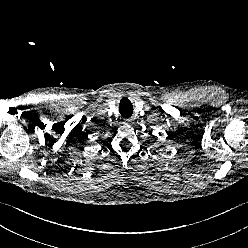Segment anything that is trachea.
<instances>
[{
	"label": "trachea",
	"instance_id": "trachea-1",
	"mask_svg": "<svg viewBox=\"0 0 248 248\" xmlns=\"http://www.w3.org/2000/svg\"><path fill=\"white\" fill-rule=\"evenodd\" d=\"M119 112L125 118L131 117L133 113V106L127 98H123L121 100V103L119 106Z\"/></svg>",
	"mask_w": 248,
	"mask_h": 248
}]
</instances>
